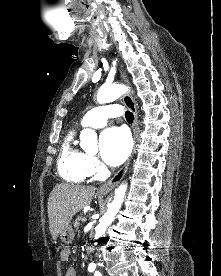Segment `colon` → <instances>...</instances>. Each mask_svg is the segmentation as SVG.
Instances as JSON below:
<instances>
[{
	"instance_id": "obj_1",
	"label": "colon",
	"mask_w": 221,
	"mask_h": 276,
	"mask_svg": "<svg viewBox=\"0 0 221 276\" xmlns=\"http://www.w3.org/2000/svg\"><path fill=\"white\" fill-rule=\"evenodd\" d=\"M54 251H60L62 254L64 251H67V246L66 244H55Z\"/></svg>"
}]
</instances>
